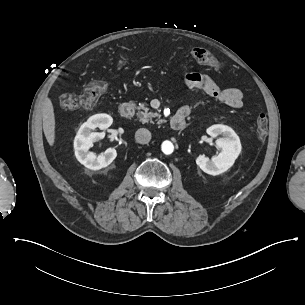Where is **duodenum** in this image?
<instances>
[{"label":"duodenum","instance_id":"obj_1","mask_svg":"<svg viewBox=\"0 0 305 305\" xmlns=\"http://www.w3.org/2000/svg\"><path fill=\"white\" fill-rule=\"evenodd\" d=\"M136 107L131 102H125L120 106V115L124 119H130L135 114ZM186 122V114L178 112L174 114L170 119V124L173 129H182Z\"/></svg>","mask_w":305,"mask_h":305}]
</instances>
